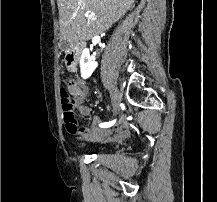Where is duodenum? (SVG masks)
Returning <instances> with one entry per match:
<instances>
[{"label": "duodenum", "instance_id": "obj_1", "mask_svg": "<svg viewBox=\"0 0 217 202\" xmlns=\"http://www.w3.org/2000/svg\"><path fill=\"white\" fill-rule=\"evenodd\" d=\"M80 49L81 47H77L73 53H70L66 56V62L68 66L74 67L76 65Z\"/></svg>", "mask_w": 217, "mask_h": 202}]
</instances>
